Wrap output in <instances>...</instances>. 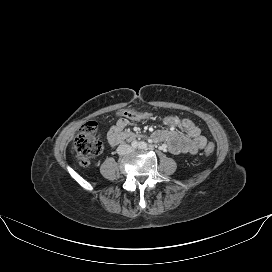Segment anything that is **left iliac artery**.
<instances>
[{
    "label": "left iliac artery",
    "instance_id": "obj_1",
    "mask_svg": "<svg viewBox=\"0 0 272 272\" xmlns=\"http://www.w3.org/2000/svg\"><path fill=\"white\" fill-rule=\"evenodd\" d=\"M148 148V145L146 142H140L139 143V149L146 150Z\"/></svg>",
    "mask_w": 272,
    "mask_h": 272
}]
</instances>
